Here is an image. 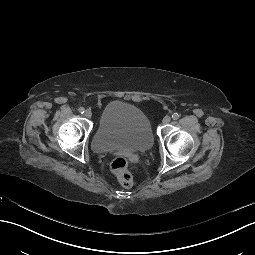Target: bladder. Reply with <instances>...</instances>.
Listing matches in <instances>:
<instances>
[{
    "instance_id": "obj_1",
    "label": "bladder",
    "mask_w": 255,
    "mask_h": 255,
    "mask_svg": "<svg viewBox=\"0 0 255 255\" xmlns=\"http://www.w3.org/2000/svg\"><path fill=\"white\" fill-rule=\"evenodd\" d=\"M153 133L145 113L124 102L115 101L105 106L91 140L96 152L111 150H149Z\"/></svg>"
}]
</instances>
